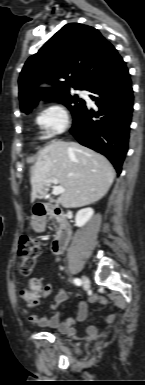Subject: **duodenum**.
Segmentation results:
<instances>
[{
	"label": "duodenum",
	"mask_w": 145,
	"mask_h": 385,
	"mask_svg": "<svg viewBox=\"0 0 145 385\" xmlns=\"http://www.w3.org/2000/svg\"><path fill=\"white\" fill-rule=\"evenodd\" d=\"M34 214L36 217L34 226L39 231L45 228L46 222L44 219L46 217H51L57 222L58 232L52 242V250L56 254L61 253L68 245L71 237V228L66 215L61 209L47 202L36 204Z\"/></svg>",
	"instance_id": "duodenum-1"
}]
</instances>
